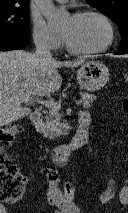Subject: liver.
I'll return each instance as SVG.
<instances>
[{
    "label": "liver",
    "mask_w": 128,
    "mask_h": 213,
    "mask_svg": "<svg viewBox=\"0 0 128 213\" xmlns=\"http://www.w3.org/2000/svg\"><path fill=\"white\" fill-rule=\"evenodd\" d=\"M83 60L41 62L23 50L0 52V127L28 116L30 108L22 103L56 92L62 84L58 68H74Z\"/></svg>",
    "instance_id": "6515ba94"
}]
</instances>
